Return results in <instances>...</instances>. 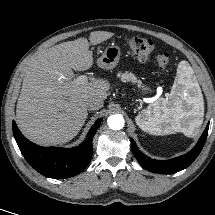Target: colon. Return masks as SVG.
Instances as JSON below:
<instances>
[{
  "label": "colon",
  "instance_id": "1",
  "mask_svg": "<svg viewBox=\"0 0 215 215\" xmlns=\"http://www.w3.org/2000/svg\"><path fill=\"white\" fill-rule=\"evenodd\" d=\"M126 44L131 51L132 55L140 60L144 61L153 53L154 43L150 39L141 37H130L126 40ZM170 62V54L167 52L161 53L157 57V63L159 67L165 68Z\"/></svg>",
  "mask_w": 215,
  "mask_h": 215
}]
</instances>
